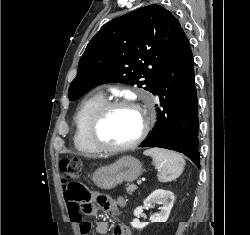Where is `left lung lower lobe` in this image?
Here are the masks:
<instances>
[{
  "mask_svg": "<svg viewBox=\"0 0 250 235\" xmlns=\"http://www.w3.org/2000/svg\"><path fill=\"white\" fill-rule=\"evenodd\" d=\"M194 79L192 51L184 31H181L151 91L159 96L163 110H157L156 127L141 146L183 153L200 168Z\"/></svg>",
  "mask_w": 250,
  "mask_h": 235,
  "instance_id": "1",
  "label": "left lung lower lobe"
}]
</instances>
